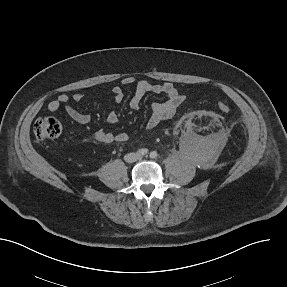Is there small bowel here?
Listing matches in <instances>:
<instances>
[{
	"instance_id": "small-bowel-1",
	"label": "small bowel",
	"mask_w": 287,
	"mask_h": 287,
	"mask_svg": "<svg viewBox=\"0 0 287 287\" xmlns=\"http://www.w3.org/2000/svg\"><path fill=\"white\" fill-rule=\"evenodd\" d=\"M121 82L125 86H134L135 91L129 102V106L133 110L140 108L144 96L148 93L164 94L167 96L166 101L152 104L150 116L146 123L147 129H153L162 121L171 118L184 101V96L171 82L161 84L151 83L145 80H136L133 76H125ZM112 95L114 104L118 105L123 102L125 95L121 87H114L112 89ZM84 97L82 93H75L71 97L66 94H61L48 103L47 110L54 113L60 108H63L67 116L76 123L88 124L91 121L90 116L70 105L71 101L79 103L84 100ZM104 119L107 123H114L117 120V114L114 110H111L104 114ZM95 139L104 144H110L112 142L125 143L128 141L129 136L125 132L111 133L105 130H98L95 132Z\"/></svg>"
}]
</instances>
